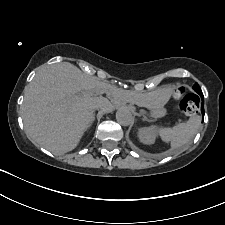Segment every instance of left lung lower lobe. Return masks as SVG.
<instances>
[{
	"label": "left lung lower lobe",
	"instance_id": "left-lung-lower-lobe-1",
	"mask_svg": "<svg viewBox=\"0 0 225 225\" xmlns=\"http://www.w3.org/2000/svg\"><path fill=\"white\" fill-rule=\"evenodd\" d=\"M199 95L201 96V100H202V104H201V112H202V115H203V118H204V99H203V94L200 93Z\"/></svg>",
	"mask_w": 225,
	"mask_h": 225
}]
</instances>
